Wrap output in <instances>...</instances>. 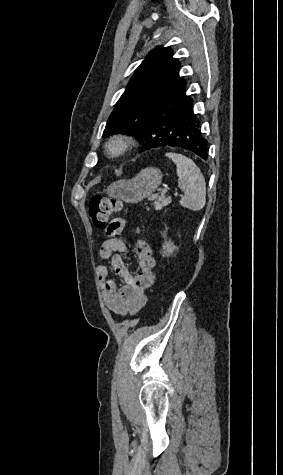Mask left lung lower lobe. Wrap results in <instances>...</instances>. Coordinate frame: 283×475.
I'll use <instances>...</instances> for the list:
<instances>
[{"instance_id":"obj_1","label":"left lung lower lobe","mask_w":283,"mask_h":475,"mask_svg":"<svg viewBox=\"0 0 283 475\" xmlns=\"http://www.w3.org/2000/svg\"><path fill=\"white\" fill-rule=\"evenodd\" d=\"M185 80L165 95L153 108L141 133L145 142L140 153L152 148L171 146L208 158V141L201 133V122L193 112V100L185 94Z\"/></svg>"}]
</instances>
